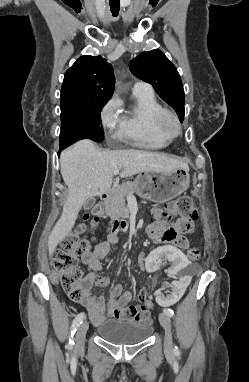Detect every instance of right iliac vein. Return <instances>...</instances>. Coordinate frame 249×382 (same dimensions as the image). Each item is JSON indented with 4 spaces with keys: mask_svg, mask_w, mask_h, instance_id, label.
<instances>
[{
    "mask_svg": "<svg viewBox=\"0 0 249 382\" xmlns=\"http://www.w3.org/2000/svg\"><path fill=\"white\" fill-rule=\"evenodd\" d=\"M88 327H89V325H88L87 321H84L79 326L77 334H76V339H75V349L76 350H80L83 348Z\"/></svg>",
    "mask_w": 249,
    "mask_h": 382,
    "instance_id": "1",
    "label": "right iliac vein"
}]
</instances>
